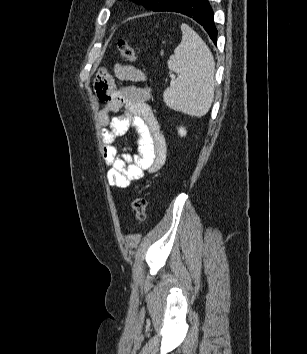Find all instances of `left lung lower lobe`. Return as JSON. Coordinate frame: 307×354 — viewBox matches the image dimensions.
I'll list each match as a JSON object with an SVG mask.
<instances>
[{
	"label": "left lung lower lobe",
	"instance_id": "1",
	"mask_svg": "<svg viewBox=\"0 0 307 354\" xmlns=\"http://www.w3.org/2000/svg\"><path fill=\"white\" fill-rule=\"evenodd\" d=\"M158 11L177 12L189 16L205 29L216 44L217 29L214 24V12L208 0H169Z\"/></svg>",
	"mask_w": 307,
	"mask_h": 354
}]
</instances>
